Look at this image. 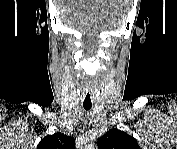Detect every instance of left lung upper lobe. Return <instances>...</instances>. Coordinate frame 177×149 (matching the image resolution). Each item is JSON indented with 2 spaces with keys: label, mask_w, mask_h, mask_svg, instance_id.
<instances>
[{
  "label": "left lung upper lobe",
  "mask_w": 177,
  "mask_h": 149,
  "mask_svg": "<svg viewBox=\"0 0 177 149\" xmlns=\"http://www.w3.org/2000/svg\"><path fill=\"white\" fill-rule=\"evenodd\" d=\"M99 149H140L137 140L118 129H111L98 139Z\"/></svg>",
  "instance_id": "obj_1"
}]
</instances>
